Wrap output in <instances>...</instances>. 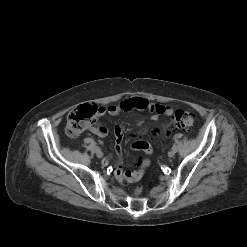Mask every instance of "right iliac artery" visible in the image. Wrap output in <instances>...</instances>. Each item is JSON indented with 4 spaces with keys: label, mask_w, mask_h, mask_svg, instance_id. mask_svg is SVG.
<instances>
[{
    "label": "right iliac artery",
    "mask_w": 247,
    "mask_h": 247,
    "mask_svg": "<svg viewBox=\"0 0 247 247\" xmlns=\"http://www.w3.org/2000/svg\"><path fill=\"white\" fill-rule=\"evenodd\" d=\"M95 150H100V148L98 147V146H95V148H94Z\"/></svg>",
    "instance_id": "82829eb1"
}]
</instances>
